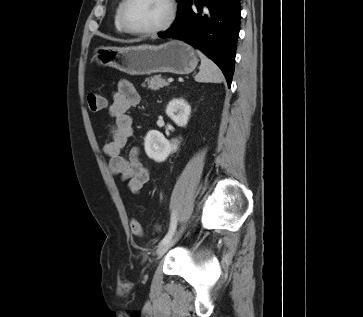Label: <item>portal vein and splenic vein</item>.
<instances>
[{
  "mask_svg": "<svg viewBox=\"0 0 363 317\" xmlns=\"http://www.w3.org/2000/svg\"><path fill=\"white\" fill-rule=\"evenodd\" d=\"M168 82L169 83L173 82V78H168Z\"/></svg>",
  "mask_w": 363,
  "mask_h": 317,
  "instance_id": "portal-vein-and-splenic-vein-1",
  "label": "portal vein and splenic vein"
}]
</instances>
